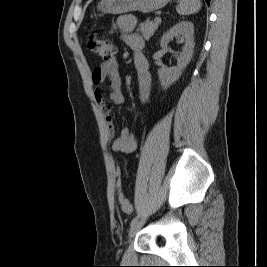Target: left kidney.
<instances>
[{"mask_svg":"<svg viewBox=\"0 0 267 267\" xmlns=\"http://www.w3.org/2000/svg\"><path fill=\"white\" fill-rule=\"evenodd\" d=\"M193 34L194 26L189 21H181L163 34L160 44L163 49H167L169 42L174 38H178L180 42H184L182 52L177 57V66L158 70L159 80L163 89H167L176 82L181 76L183 69L190 62L195 46Z\"/></svg>","mask_w":267,"mask_h":267,"instance_id":"5707ae66","label":"left kidney"}]
</instances>
